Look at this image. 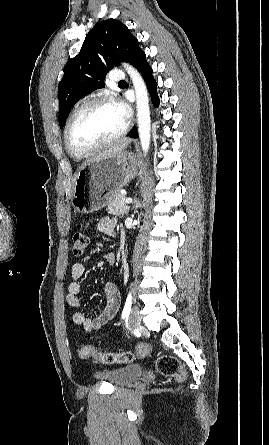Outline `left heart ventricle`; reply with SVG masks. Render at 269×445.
Masks as SVG:
<instances>
[{
    "mask_svg": "<svg viewBox=\"0 0 269 445\" xmlns=\"http://www.w3.org/2000/svg\"><path fill=\"white\" fill-rule=\"evenodd\" d=\"M125 122L114 104L97 105L75 118L69 139L74 148L88 150L117 135Z\"/></svg>",
    "mask_w": 269,
    "mask_h": 445,
    "instance_id": "left-heart-ventricle-1",
    "label": "left heart ventricle"
}]
</instances>
